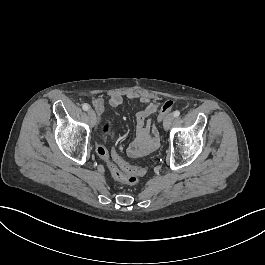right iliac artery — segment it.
<instances>
[{"mask_svg": "<svg viewBox=\"0 0 265 265\" xmlns=\"http://www.w3.org/2000/svg\"><path fill=\"white\" fill-rule=\"evenodd\" d=\"M82 108H83V110L87 111V110H89L90 106L87 103H84L82 105Z\"/></svg>", "mask_w": 265, "mask_h": 265, "instance_id": "1", "label": "right iliac artery"}]
</instances>
